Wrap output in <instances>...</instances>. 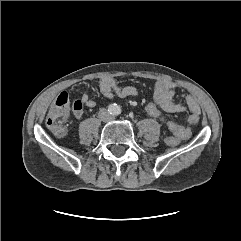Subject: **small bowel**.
Returning <instances> with one entry per match:
<instances>
[{
    "mask_svg": "<svg viewBox=\"0 0 241 241\" xmlns=\"http://www.w3.org/2000/svg\"><path fill=\"white\" fill-rule=\"evenodd\" d=\"M99 90L103 96L109 99L116 97H133L138 95V90L134 86L121 87L114 78L104 77L98 81ZM177 87L173 82L167 80H159L154 86V101L164 111L169 113H181L188 110L194 115L200 114V106L196 99L191 95H183L185 104H181L175 101V94ZM76 101V100H75ZM82 105L88 108H94L96 106L95 100L83 93L78 100ZM82 110L75 113L77 118L81 117Z\"/></svg>",
    "mask_w": 241,
    "mask_h": 241,
    "instance_id": "1",
    "label": "small bowel"
}]
</instances>
